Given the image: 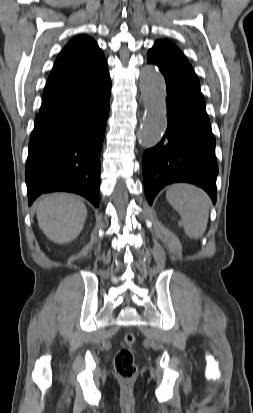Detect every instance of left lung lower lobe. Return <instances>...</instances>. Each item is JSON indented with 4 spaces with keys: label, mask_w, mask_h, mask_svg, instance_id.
<instances>
[{
    "label": "left lung lower lobe",
    "mask_w": 253,
    "mask_h": 413,
    "mask_svg": "<svg viewBox=\"0 0 253 413\" xmlns=\"http://www.w3.org/2000/svg\"><path fill=\"white\" fill-rule=\"evenodd\" d=\"M155 64L167 89L168 126L162 140L142 158L144 188L149 204L166 185L188 182L203 188L216 202L218 166L215 137L206 113L197 76Z\"/></svg>",
    "instance_id": "left-lung-lower-lobe-1"
}]
</instances>
